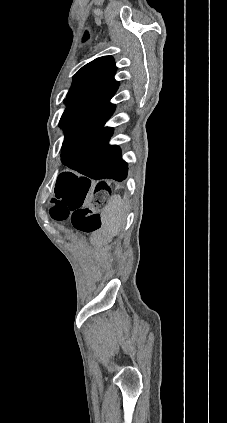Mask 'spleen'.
I'll list each match as a JSON object with an SVG mask.
<instances>
[{"label":"spleen","mask_w":227,"mask_h":423,"mask_svg":"<svg viewBox=\"0 0 227 423\" xmlns=\"http://www.w3.org/2000/svg\"><path fill=\"white\" fill-rule=\"evenodd\" d=\"M102 221L113 235H117L125 217V206L119 194L112 196L108 206L101 213Z\"/></svg>","instance_id":"spleen-1"}]
</instances>
